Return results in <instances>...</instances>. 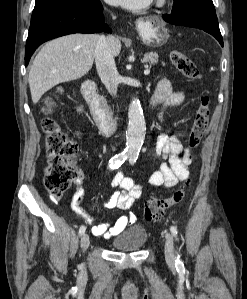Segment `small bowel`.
Here are the masks:
<instances>
[{
  "mask_svg": "<svg viewBox=\"0 0 247 299\" xmlns=\"http://www.w3.org/2000/svg\"><path fill=\"white\" fill-rule=\"evenodd\" d=\"M185 98L184 92H173L170 81L161 77L151 98V105L160 109L163 118L166 111L178 106ZM156 153L165 160L152 173L149 183L155 187L172 188L189 177L191 155L177 135L162 133L156 140ZM110 186L115 188L114 193L103 203L106 209L118 208L129 210L142 196V186L132 177L126 176L123 171H117L110 180ZM84 197L82 177L76 180V191L71 201L72 209L82 216L88 223L94 224L95 219L81 206ZM131 215H123L115 222L94 224L92 232L95 236L110 238L120 234L128 225L134 222Z\"/></svg>",
  "mask_w": 247,
  "mask_h": 299,
  "instance_id": "obj_1",
  "label": "small bowel"
}]
</instances>
